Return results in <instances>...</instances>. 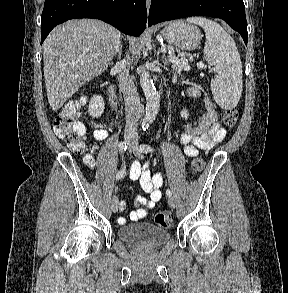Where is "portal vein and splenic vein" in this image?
Masks as SVG:
<instances>
[{
  "mask_svg": "<svg viewBox=\"0 0 288 293\" xmlns=\"http://www.w3.org/2000/svg\"><path fill=\"white\" fill-rule=\"evenodd\" d=\"M97 55L93 54L92 57L95 58ZM169 61L173 63L174 65H177L178 67L189 71L190 70V65H188V60L187 59H179L178 57L175 56H170ZM204 64L203 63H198L199 68H203Z\"/></svg>",
  "mask_w": 288,
  "mask_h": 293,
  "instance_id": "18ae733b",
  "label": "portal vein and splenic vein"
}]
</instances>
